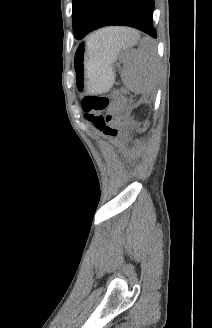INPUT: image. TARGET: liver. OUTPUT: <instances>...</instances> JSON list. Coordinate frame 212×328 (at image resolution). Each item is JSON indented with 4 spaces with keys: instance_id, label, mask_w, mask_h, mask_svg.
<instances>
[{
    "instance_id": "obj_1",
    "label": "liver",
    "mask_w": 212,
    "mask_h": 328,
    "mask_svg": "<svg viewBox=\"0 0 212 328\" xmlns=\"http://www.w3.org/2000/svg\"><path fill=\"white\" fill-rule=\"evenodd\" d=\"M108 37L110 39L111 45L122 46L130 45L137 41L139 34L135 30L123 27H112L109 28Z\"/></svg>"
}]
</instances>
